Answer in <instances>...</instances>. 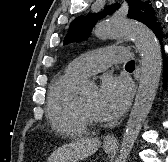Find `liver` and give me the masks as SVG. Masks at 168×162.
Masks as SVG:
<instances>
[{
  "label": "liver",
  "mask_w": 168,
  "mask_h": 162,
  "mask_svg": "<svg viewBox=\"0 0 168 162\" xmlns=\"http://www.w3.org/2000/svg\"><path fill=\"white\" fill-rule=\"evenodd\" d=\"M100 147L98 138H82L57 148L47 162H77L83 160Z\"/></svg>",
  "instance_id": "6515ba94"
}]
</instances>
